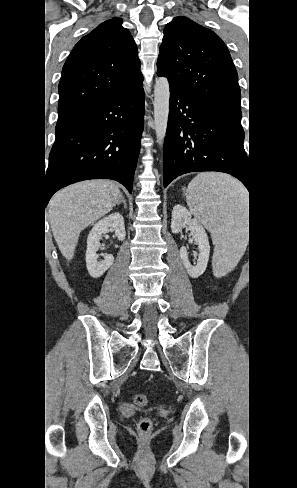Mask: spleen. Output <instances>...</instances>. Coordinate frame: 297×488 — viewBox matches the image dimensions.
<instances>
[{
  "mask_svg": "<svg viewBox=\"0 0 297 488\" xmlns=\"http://www.w3.org/2000/svg\"><path fill=\"white\" fill-rule=\"evenodd\" d=\"M190 211L211 233L214 268L236 266L245 250L248 193L236 179L218 173L198 174L185 193Z\"/></svg>",
  "mask_w": 297,
  "mask_h": 488,
  "instance_id": "obj_1",
  "label": "spleen"
}]
</instances>
